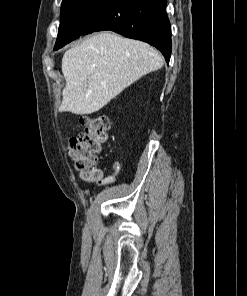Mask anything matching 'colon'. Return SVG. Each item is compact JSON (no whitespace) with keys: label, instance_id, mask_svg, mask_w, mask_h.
Wrapping results in <instances>:
<instances>
[{"label":"colon","instance_id":"obj_1","mask_svg":"<svg viewBox=\"0 0 247 296\" xmlns=\"http://www.w3.org/2000/svg\"><path fill=\"white\" fill-rule=\"evenodd\" d=\"M81 126L83 132L70 141L69 155L84 181H98L101 171L97 163L109 140L110 124L104 116H87L81 119Z\"/></svg>","mask_w":247,"mask_h":296}]
</instances>
